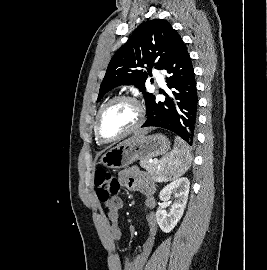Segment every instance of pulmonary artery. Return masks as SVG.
I'll list each match as a JSON object with an SVG mask.
<instances>
[{
    "instance_id": "e3ab8cb5",
    "label": "pulmonary artery",
    "mask_w": 267,
    "mask_h": 270,
    "mask_svg": "<svg viewBox=\"0 0 267 270\" xmlns=\"http://www.w3.org/2000/svg\"><path fill=\"white\" fill-rule=\"evenodd\" d=\"M155 76L159 85L163 86L165 84L164 77L157 71H155Z\"/></svg>"
}]
</instances>
